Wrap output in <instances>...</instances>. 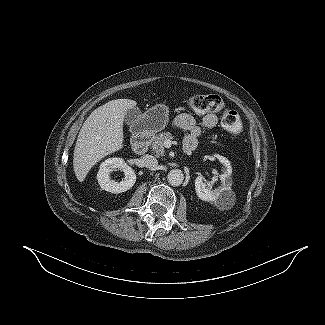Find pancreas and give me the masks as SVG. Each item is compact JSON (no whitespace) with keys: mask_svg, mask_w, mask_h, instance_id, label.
<instances>
[{"mask_svg":"<svg viewBox=\"0 0 325 325\" xmlns=\"http://www.w3.org/2000/svg\"><path fill=\"white\" fill-rule=\"evenodd\" d=\"M168 139H173L170 132H161L152 138L151 147L157 156H164V142Z\"/></svg>","mask_w":325,"mask_h":325,"instance_id":"obj_1","label":"pancreas"}]
</instances>
